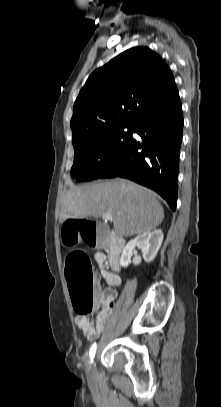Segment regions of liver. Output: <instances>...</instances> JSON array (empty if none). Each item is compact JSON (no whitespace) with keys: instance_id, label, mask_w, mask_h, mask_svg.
Returning a JSON list of instances; mask_svg holds the SVG:
<instances>
[{"instance_id":"6515ba94","label":"liver","mask_w":221,"mask_h":407,"mask_svg":"<svg viewBox=\"0 0 221 407\" xmlns=\"http://www.w3.org/2000/svg\"><path fill=\"white\" fill-rule=\"evenodd\" d=\"M105 213L112 215L115 232L121 237L150 232L164 218L163 207L151 190L117 178L70 189L63 198L60 222Z\"/></svg>"}]
</instances>
